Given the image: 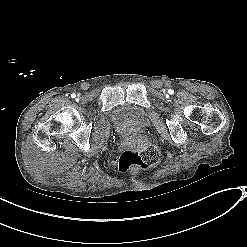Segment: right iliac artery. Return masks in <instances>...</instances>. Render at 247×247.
Wrapping results in <instances>:
<instances>
[{
    "mask_svg": "<svg viewBox=\"0 0 247 247\" xmlns=\"http://www.w3.org/2000/svg\"><path fill=\"white\" fill-rule=\"evenodd\" d=\"M71 97H72V98H75V97H76V95L73 93V94L71 95Z\"/></svg>",
    "mask_w": 247,
    "mask_h": 247,
    "instance_id": "1",
    "label": "right iliac artery"
}]
</instances>
